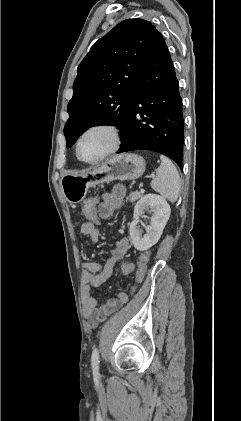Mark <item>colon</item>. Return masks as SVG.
I'll return each instance as SVG.
<instances>
[{"mask_svg": "<svg viewBox=\"0 0 241 421\" xmlns=\"http://www.w3.org/2000/svg\"><path fill=\"white\" fill-rule=\"evenodd\" d=\"M98 205V198H88L82 205V213L88 222L93 223L95 226H100V219L97 215L96 209ZM150 259V252H143L138 260L137 265L129 261H123L120 264V271L124 275H129L135 272V281L139 283L145 276L147 264Z\"/></svg>", "mask_w": 241, "mask_h": 421, "instance_id": "colon-1", "label": "colon"}]
</instances>
